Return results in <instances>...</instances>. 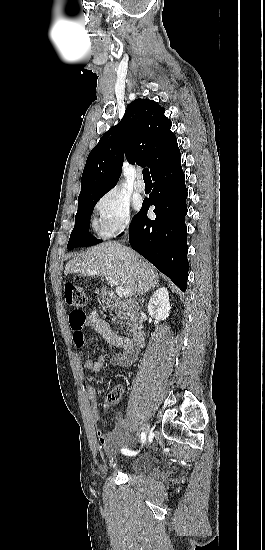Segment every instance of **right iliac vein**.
<instances>
[{
  "instance_id": "right-iliac-vein-1",
  "label": "right iliac vein",
  "mask_w": 265,
  "mask_h": 550,
  "mask_svg": "<svg viewBox=\"0 0 265 550\" xmlns=\"http://www.w3.org/2000/svg\"><path fill=\"white\" fill-rule=\"evenodd\" d=\"M150 430V425L147 423V424H144L143 427H142V431L144 434H147Z\"/></svg>"
}]
</instances>
